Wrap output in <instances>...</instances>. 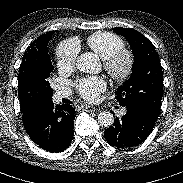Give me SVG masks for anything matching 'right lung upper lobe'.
Instances as JSON below:
<instances>
[{
  "label": "right lung upper lobe",
  "mask_w": 183,
  "mask_h": 183,
  "mask_svg": "<svg viewBox=\"0 0 183 183\" xmlns=\"http://www.w3.org/2000/svg\"><path fill=\"white\" fill-rule=\"evenodd\" d=\"M55 31H50L47 32L41 36H39L31 45L27 48L23 59L22 63L20 66V69L25 68L27 65H29L37 56L39 55L40 52H42L43 48L45 47V44H48V41L51 40L52 35Z\"/></svg>",
  "instance_id": "right-lung-upper-lobe-1"
}]
</instances>
